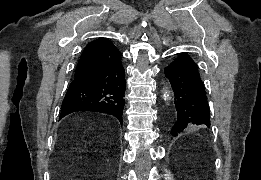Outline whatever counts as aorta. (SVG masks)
<instances>
[{
    "mask_svg": "<svg viewBox=\"0 0 261 180\" xmlns=\"http://www.w3.org/2000/svg\"><path fill=\"white\" fill-rule=\"evenodd\" d=\"M163 98L166 101V105H170V102L173 100V92L167 87L162 90Z\"/></svg>",
    "mask_w": 261,
    "mask_h": 180,
    "instance_id": "762f6f07",
    "label": "aorta"
}]
</instances>
